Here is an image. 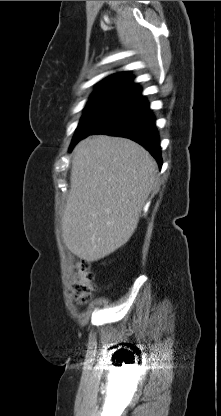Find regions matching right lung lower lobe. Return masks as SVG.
Here are the masks:
<instances>
[{"mask_svg":"<svg viewBox=\"0 0 221 416\" xmlns=\"http://www.w3.org/2000/svg\"><path fill=\"white\" fill-rule=\"evenodd\" d=\"M90 134H107L132 139L145 147L162 166L161 149L155 117L149 109V103L140 93L130 96ZM72 141L73 146L84 137Z\"/></svg>","mask_w":221,"mask_h":416,"instance_id":"right-lung-lower-lobe-1","label":"right lung lower lobe"}]
</instances>
